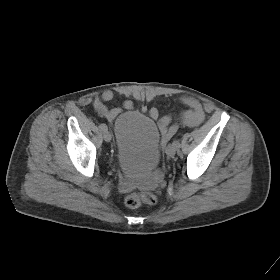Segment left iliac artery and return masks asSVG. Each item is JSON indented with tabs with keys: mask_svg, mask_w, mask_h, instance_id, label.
<instances>
[{
	"mask_svg": "<svg viewBox=\"0 0 280 280\" xmlns=\"http://www.w3.org/2000/svg\"><path fill=\"white\" fill-rule=\"evenodd\" d=\"M172 145H173L174 147H176V148H179V147H180V143H179V141H177V140L173 141Z\"/></svg>",
	"mask_w": 280,
	"mask_h": 280,
	"instance_id": "left-iliac-artery-1",
	"label": "left iliac artery"
}]
</instances>
